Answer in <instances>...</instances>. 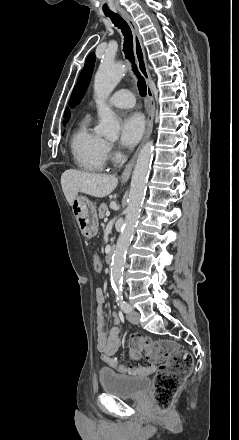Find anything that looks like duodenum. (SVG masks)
<instances>
[{
    "mask_svg": "<svg viewBox=\"0 0 239 440\" xmlns=\"http://www.w3.org/2000/svg\"><path fill=\"white\" fill-rule=\"evenodd\" d=\"M113 255H114V247H111L106 254L107 262H111V260L113 259Z\"/></svg>",
    "mask_w": 239,
    "mask_h": 440,
    "instance_id": "duodenum-1",
    "label": "duodenum"
}]
</instances>
